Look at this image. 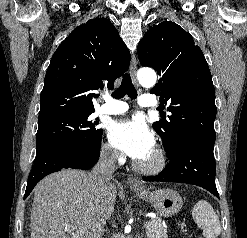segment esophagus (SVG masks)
I'll return each mask as SVG.
<instances>
[{
  "instance_id": "34e87169",
  "label": "esophagus",
  "mask_w": 247,
  "mask_h": 238,
  "mask_svg": "<svg viewBox=\"0 0 247 238\" xmlns=\"http://www.w3.org/2000/svg\"><path fill=\"white\" fill-rule=\"evenodd\" d=\"M136 72H137V61H136V57L133 55L131 57V63H130V74H131L133 83L135 85H138L137 78H136ZM128 182L130 183V185H132L135 188H142V185L137 178L130 177L128 178Z\"/></svg>"
}]
</instances>
